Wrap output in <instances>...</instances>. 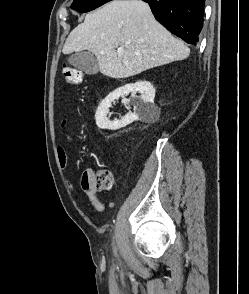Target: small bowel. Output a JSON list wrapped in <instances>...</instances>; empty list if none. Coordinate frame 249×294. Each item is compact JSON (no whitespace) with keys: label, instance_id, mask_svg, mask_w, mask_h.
<instances>
[{"label":"small bowel","instance_id":"small-bowel-1","mask_svg":"<svg viewBox=\"0 0 249 294\" xmlns=\"http://www.w3.org/2000/svg\"><path fill=\"white\" fill-rule=\"evenodd\" d=\"M74 132H67L64 135L63 143L57 148V157L58 162L61 168H65L68 162V155L66 151V146L73 140ZM90 173L91 171H86L81 179V189L88 198V201L92 205V207L97 212H105L108 208V205L104 204L100 199L97 197V188L94 186ZM69 189L74 192L72 185L68 182L67 183ZM113 204H110L112 206Z\"/></svg>","mask_w":249,"mask_h":294}]
</instances>
